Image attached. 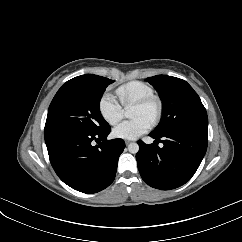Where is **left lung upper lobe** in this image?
Here are the masks:
<instances>
[{
    "instance_id": "obj_1",
    "label": "left lung upper lobe",
    "mask_w": 242,
    "mask_h": 242,
    "mask_svg": "<svg viewBox=\"0 0 242 242\" xmlns=\"http://www.w3.org/2000/svg\"><path fill=\"white\" fill-rule=\"evenodd\" d=\"M146 80L156 89L163 102V116L153 134L162 136L189 126L208 127L206 109L185 80L167 75Z\"/></svg>"
}]
</instances>
